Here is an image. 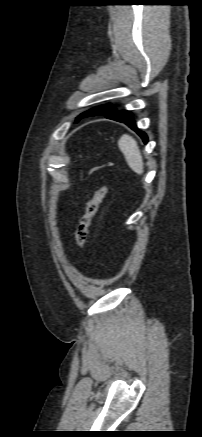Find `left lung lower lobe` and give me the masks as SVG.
I'll return each mask as SVG.
<instances>
[{
  "label": "left lung lower lobe",
  "mask_w": 202,
  "mask_h": 437,
  "mask_svg": "<svg viewBox=\"0 0 202 437\" xmlns=\"http://www.w3.org/2000/svg\"><path fill=\"white\" fill-rule=\"evenodd\" d=\"M104 116L108 119H112V120L122 122V123L128 125L131 129L136 131V133L142 138V140L145 144L148 142L147 135L143 131L139 130L136 127L133 116L129 111H126V110L116 111V110H114V111H112Z\"/></svg>",
  "instance_id": "1"
}]
</instances>
